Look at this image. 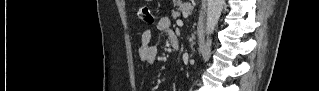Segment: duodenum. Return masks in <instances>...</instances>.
Returning <instances> with one entry per match:
<instances>
[{"label":"duodenum","mask_w":319,"mask_h":91,"mask_svg":"<svg viewBox=\"0 0 319 91\" xmlns=\"http://www.w3.org/2000/svg\"><path fill=\"white\" fill-rule=\"evenodd\" d=\"M170 43H171V47L173 49H178L179 48V41H178V38L175 34L171 35L170 37Z\"/></svg>","instance_id":"obj_1"}]
</instances>
